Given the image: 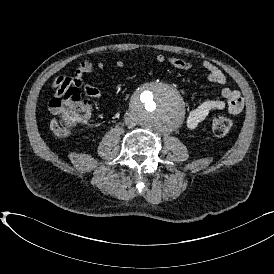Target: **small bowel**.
Here are the masks:
<instances>
[{"label": "small bowel", "instance_id": "obj_1", "mask_svg": "<svg viewBox=\"0 0 274 274\" xmlns=\"http://www.w3.org/2000/svg\"><path fill=\"white\" fill-rule=\"evenodd\" d=\"M155 61L159 64L167 63L174 68L182 70H190L194 68V63L183 59L169 57L164 54H157ZM118 69L125 67V61L119 59L115 62ZM106 67L105 62L99 61L94 64L90 60H83L76 69L72 77L58 76L53 84V96L55 99L60 100L64 96V92L68 89H80L86 96L92 99H100L102 97L101 90L85 80L86 76L95 73L96 70H104ZM202 68L205 70L207 79L216 84L226 85L228 79L226 75L212 62L204 61ZM222 99H208L194 108L186 118V127L188 130H195L205 118L214 111L226 110L230 114H238L244 108V100L241 93L231 87L225 86L222 89Z\"/></svg>", "mask_w": 274, "mask_h": 274}]
</instances>
